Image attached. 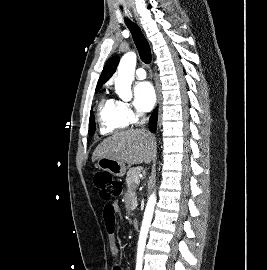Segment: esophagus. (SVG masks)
Returning a JSON list of instances; mask_svg holds the SVG:
<instances>
[{
  "label": "esophagus",
  "instance_id": "1",
  "mask_svg": "<svg viewBox=\"0 0 267 270\" xmlns=\"http://www.w3.org/2000/svg\"><path fill=\"white\" fill-rule=\"evenodd\" d=\"M154 84H155V90H156V95H157V103H159V101H160V87H159L157 80H155Z\"/></svg>",
  "mask_w": 267,
  "mask_h": 270
}]
</instances>
